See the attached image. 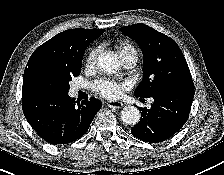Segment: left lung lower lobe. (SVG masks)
<instances>
[{
	"instance_id": "obj_1",
	"label": "left lung lower lobe",
	"mask_w": 224,
	"mask_h": 175,
	"mask_svg": "<svg viewBox=\"0 0 224 175\" xmlns=\"http://www.w3.org/2000/svg\"><path fill=\"white\" fill-rule=\"evenodd\" d=\"M150 97L154 99L151 108H140L142 118L131 133L142 141L159 143L172 137L188 120L194 90L167 88Z\"/></svg>"
}]
</instances>
